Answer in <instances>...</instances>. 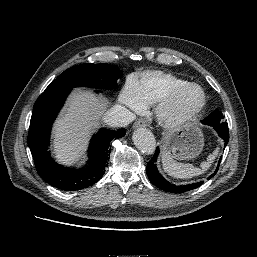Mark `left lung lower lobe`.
I'll return each mask as SVG.
<instances>
[{
    "label": "left lung lower lobe",
    "mask_w": 257,
    "mask_h": 257,
    "mask_svg": "<svg viewBox=\"0 0 257 257\" xmlns=\"http://www.w3.org/2000/svg\"><path fill=\"white\" fill-rule=\"evenodd\" d=\"M212 127L216 130L219 137L223 138V140L225 142L224 146H226L229 141L228 124L226 122H223L220 125H216V126H212ZM158 154H159V148L156 149V152H155L153 158L148 162L147 169H146L147 176L153 185H155L156 187H158L164 191H168V192H172V193H184V192L193 190L195 188H198L199 186H201L203 184V181L188 184V185H183V186H176L174 184L169 183L167 180H165L162 177V175L157 170L156 161H157ZM221 158H222V156L219 159L216 171L213 174H211L208 177V179L212 178L216 174V172L219 168L220 162H221Z\"/></svg>",
    "instance_id": "obj_1"
}]
</instances>
